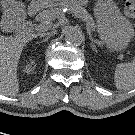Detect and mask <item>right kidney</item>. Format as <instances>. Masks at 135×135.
Returning <instances> with one entry per match:
<instances>
[{
  "instance_id": "right-kidney-1",
  "label": "right kidney",
  "mask_w": 135,
  "mask_h": 135,
  "mask_svg": "<svg viewBox=\"0 0 135 135\" xmlns=\"http://www.w3.org/2000/svg\"><path fill=\"white\" fill-rule=\"evenodd\" d=\"M25 72L31 73L33 71V67L30 64H27L24 69Z\"/></svg>"
}]
</instances>
